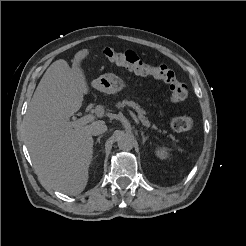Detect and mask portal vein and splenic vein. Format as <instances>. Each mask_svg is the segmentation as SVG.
<instances>
[{
	"label": "portal vein and splenic vein",
	"mask_w": 246,
	"mask_h": 246,
	"mask_svg": "<svg viewBox=\"0 0 246 246\" xmlns=\"http://www.w3.org/2000/svg\"><path fill=\"white\" fill-rule=\"evenodd\" d=\"M130 115L132 116V118L134 119V121L136 122V124H139V120L140 118L133 113L131 111H129ZM95 119V116L92 114H87L84 115L83 117H81L80 119H77L73 122H69L70 125L72 126H77V125H86L87 123L92 122Z\"/></svg>",
	"instance_id": "1"
}]
</instances>
